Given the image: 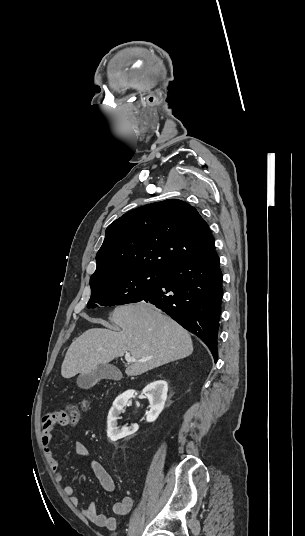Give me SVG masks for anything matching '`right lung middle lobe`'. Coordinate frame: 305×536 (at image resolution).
I'll list each match as a JSON object with an SVG mask.
<instances>
[{
    "mask_svg": "<svg viewBox=\"0 0 305 536\" xmlns=\"http://www.w3.org/2000/svg\"><path fill=\"white\" fill-rule=\"evenodd\" d=\"M165 272L134 271L120 277L90 281L91 298L88 308L138 302L162 282Z\"/></svg>",
    "mask_w": 305,
    "mask_h": 536,
    "instance_id": "obj_1",
    "label": "right lung middle lobe"
}]
</instances>
